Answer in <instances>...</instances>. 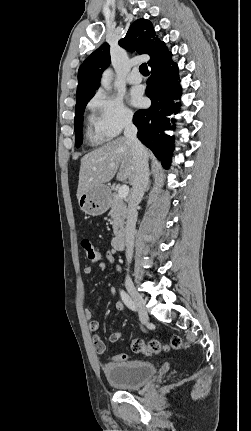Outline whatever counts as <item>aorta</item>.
Here are the masks:
<instances>
[{
    "mask_svg": "<svg viewBox=\"0 0 251 431\" xmlns=\"http://www.w3.org/2000/svg\"><path fill=\"white\" fill-rule=\"evenodd\" d=\"M113 76V71L111 69H107L104 71L102 78H101V85L104 89L107 91L111 90V80Z\"/></svg>",
    "mask_w": 251,
    "mask_h": 431,
    "instance_id": "1",
    "label": "aorta"
}]
</instances>
